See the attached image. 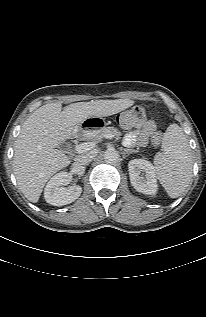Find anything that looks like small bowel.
Returning <instances> with one entry per match:
<instances>
[{
  "instance_id": "obj_1",
  "label": "small bowel",
  "mask_w": 206,
  "mask_h": 317,
  "mask_svg": "<svg viewBox=\"0 0 206 317\" xmlns=\"http://www.w3.org/2000/svg\"><path fill=\"white\" fill-rule=\"evenodd\" d=\"M156 123L152 120L147 121L143 127L139 130H133L128 132L124 138V142L127 146H145L149 137L155 132Z\"/></svg>"
}]
</instances>
